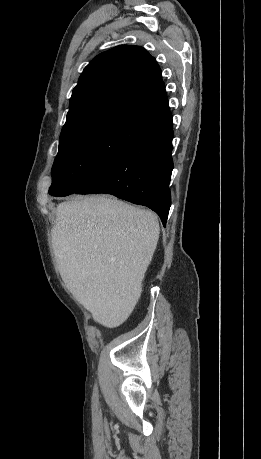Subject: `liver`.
Here are the masks:
<instances>
[{"instance_id":"6515ba94","label":"liver","mask_w":261,"mask_h":459,"mask_svg":"<svg viewBox=\"0 0 261 459\" xmlns=\"http://www.w3.org/2000/svg\"><path fill=\"white\" fill-rule=\"evenodd\" d=\"M51 230L57 268L66 286L106 327H116L137 301L155 252L157 216L109 196L62 202Z\"/></svg>"}]
</instances>
